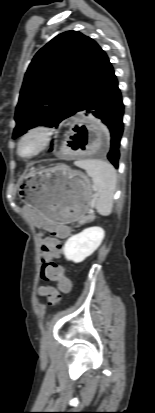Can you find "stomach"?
Masks as SVG:
<instances>
[{"instance_id": "1", "label": "stomach", "mask_w": 155, "mask_h": 413, "mask_svg": "<svg viewBox=\"0 0 155 413\" xmlns=\"http://www.w3.org/2000/svg\"><path fill=\"white\" fill-rule=\"evenodd\" d=\"M19 196L48 221L66 224L82 219L88 212L93 187L85 174L61 164L24 175Z\"/></svg>"}]
</instances>
